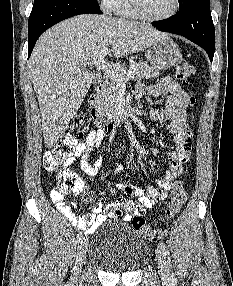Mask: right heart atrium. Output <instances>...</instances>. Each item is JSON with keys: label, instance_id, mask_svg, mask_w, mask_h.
Wrapping results in <instances>:
<instances>
[{"label": "right heart atrium", "instance_id": "right-heart-atrium-1", "mask_svg": "<svg viewBox=\"0 0 233 286\" xmlns=\"http://www.w3.org/2000/svg\"><path fill=\"white\" fill-rule=\"evenodd\" d=\"M101 6L104 10L110 11L115 0H100Z\"/></svg>", "mask_w": 233, "mask_h": 286}]
</instances>
